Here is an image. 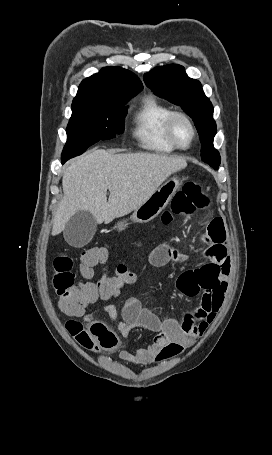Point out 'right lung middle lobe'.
I'll return each instance as SVG.
<instances>
[{"label":"right lung middle lobe","instance_id":"right-lung-middle-lobe-1","mask_svg":"<svg viewBox=\"0 0 272 455\" xmlns=\"http://www.w3.org/2000/svg\"><path fill=\"white\" fill-rule=\"evenodd\" d=\"M125 104L116 107H72V116L67 126V143L61 160L82 154L99 140L115 138L124 131Z\"/></svg>","mask_w":272,"mask_h":455}]
</instances>
